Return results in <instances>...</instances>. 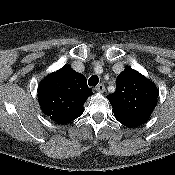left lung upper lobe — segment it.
I'll list each match as a JSON object with an SVG mask.
<instances>
[{
    "mask_svg": "<svg viewBox=\"0 0 175 175\" xmlns=\"http://www.w3.org/2000/svg\"><path fill=\"white\" fill-rule=\"evenodd\" d=\"M158 89L145 76L126 67L117 76L116 91L107 96L115 118L127 127L145 123L156 106Z\"/></svg>",
    "mask_w": 175,
    "mask_h": 175,
    "instance_id": "1",
    "label": "left lung upper lobe"
}]
</instances>
